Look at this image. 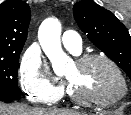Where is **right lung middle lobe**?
<instances>
[{"instance_id": "obj_1", "label": "right lung middle lobe", "mask_w": 131, "mask_h": 115, "mask_svg": "<svg viewBox=\"0 0 131 115\" xmlns=\"http://www.w3.org/2000/svg\"><path fill=\"white\" fill-rule=\"evenodd\" d=\"M20 53L0 55V100L21 98V90L17 86Z\"/></svg>"}]
</instances>
